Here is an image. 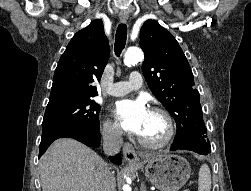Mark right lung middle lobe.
<instances>
[{
  "instance_id": "1",
  "label": "right lung middle lobe",
  "mask_w": 251,
  "mask_h": 191,
  "mask_svg": "<svg viewBox=\"0 0 251 191\" xmlns=\"http://www.w3.org/2000/svg\"><path fill=\"white\" fill-rule=\"evenodd\" d=\"M100 106L93 99L60 103L46 108L42 136L66 126L99 129Z\"/></svg>"
}]
</instances>
